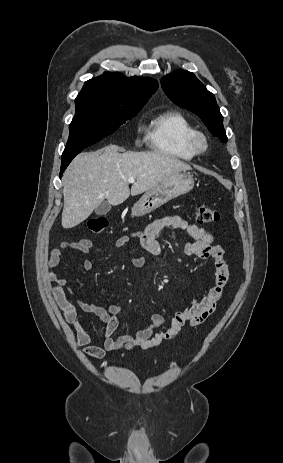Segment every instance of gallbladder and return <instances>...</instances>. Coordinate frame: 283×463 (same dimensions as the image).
Listing matches in <instances>:
<instances>
[{
    "label": "gallbladder",
    "mask_w": 283,
    "mask_h": 463,
    "mask_svg": "<svg viewBox=\"0 0 283 463\" xmlns=\"http://www.w3.org/2000/svg\"><path fill=\"white\" fill-rule=\"evenodd\" d=\"M111 209V204L108 201H103L95 208L97 215H106Z\"/></svg>",
    "instance_id": "obj_1"
}]
</instances>
